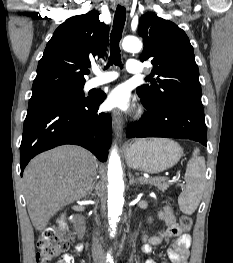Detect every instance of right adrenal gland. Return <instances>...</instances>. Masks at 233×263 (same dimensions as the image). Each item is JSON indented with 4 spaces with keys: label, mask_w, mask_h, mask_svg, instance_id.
Wrapping results in <instances>:
<instances>
[{
    "label": "right adrenal gland",
    "mask_w": 233,
    "mask_h": 263,
    "mask_svg": "<svg viewBox=\"0 0 233 263\" xmlns=\"http://www.w3.org/2000/svg\"><path fill=\"white\" fill-rule=\"evenodd\" d=\"M95 182L92 184L91 188L89 189L88 195H90L94 189Z\"/></svg>",
    "instance_id": "right-adrenal-gland-1"
}]
</instances>
